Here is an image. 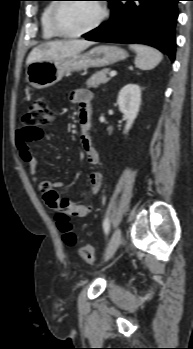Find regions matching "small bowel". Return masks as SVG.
Segmentation results:
<instances>
[{
  "label": "small bowel",
  "instance_id": "obj_1",
  "mask_svg": "<svg viewBox=\"0 0 193 349\" xmlns=\"http://www.w3.org/2000/svg\"><path fill=\"white\" fill-rule=\"evenodd\" d=\"M92 93L87 89H76L70 93L69 99L78 106V117L82 128L81 145L87 161L91 165H98L99 154L93 145L89 135L91 125V101ZM39 138H34L30 135L26 127L18 130L16 135V146L21 159L28 165L29 171L33 180L38 184L39 190L45 202L54 209L59 211L67 210L71 218L86 217L91 212V206L82 205L70 200L67 197H62L59 190L64 187L62 182H50L39 178L37 160L34 157L30 143ZM102 186V175L100 172H93L89 176V191L92 195H96Z\"/></svg>",
  "mask_w": 193,
  "mask_h": 349
}]
</instances>
